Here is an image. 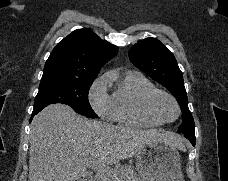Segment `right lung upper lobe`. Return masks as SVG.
Returning <instances> with one entry per match:
<instances>
[{"label":"right lung upper lobe","instance_id":"cb5924a9","mask_svg":"<svg viewBox=\"0 0 228 181\" xmlns=\"http://www.w3.org/2000/svg\"><path fill=\"white\" fill-rule=\"evenodd\" d=\"M118 47L100 39L89 29H78L60 41L46 61L42 77L94 80Z\"/></svg>","mask_w":228,"mask_h":181}]
</instances>
